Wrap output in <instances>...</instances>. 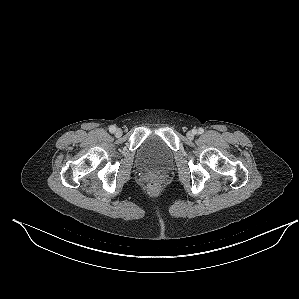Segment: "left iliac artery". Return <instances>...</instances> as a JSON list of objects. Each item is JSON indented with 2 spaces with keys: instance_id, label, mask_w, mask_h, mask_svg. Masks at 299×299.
Here are the masks:
<instances>
[{
  "instance_id": "left-iliac-artery-1",
  "label": "left iliac artery",
  "mask_w": 299,
  "mask_h": 299,
  "mask_svg": "<svg viewBox=\"0 0 299 299\" xmlns=\"http://www.w3.org/2000/svg\"><path fill=\"white\" fill-rule=\"evenodd\" d=\"M203 132H204V129H203V128H199V129H198V133H199V134H202Z\"/></svg>"
}]
</instances>
